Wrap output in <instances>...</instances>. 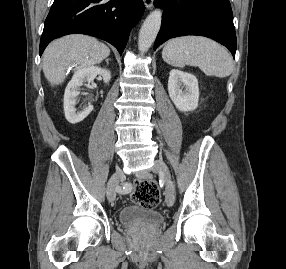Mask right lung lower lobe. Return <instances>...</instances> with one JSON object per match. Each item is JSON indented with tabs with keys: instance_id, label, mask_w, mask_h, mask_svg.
<instances>
[{
	"instance_id": "1",
	"label": "right lung lower lobe",
	"mask_w": 286,
	"mask_h": 269,
	"mask_svg": "<svg viewBox=\"0 0 286 269\" xmlns=\"http://www.w3.org/2000/svg\"><path fill=\"white\" fill-rule=\"evenodd\" d=\"M143 11L142 0H54L44 23L40 56L53 39L74 33L103 39L122 53Z\"/></svg>"
}]
</instances>
